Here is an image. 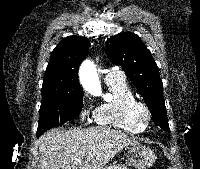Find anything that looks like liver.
Listing matches in <instances>:
<instances>
[{"mask_svg": "<svg viewBox=\"0 0 200 169\" xmlns=\"http://www.w3.org/2000/svg\"><path fill=\"white\" fill-rule=\"evenodd\" d=\"M37 169H104L124 147L138 144L111 128L51 129L38 140Z\"/></svg>", "mask_w": 200, "mask_h": 169, "instance_id": "obj_1", "label": "liver"}]
</instances>
